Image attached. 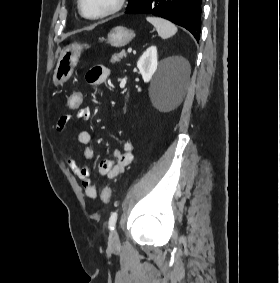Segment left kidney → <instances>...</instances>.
Here are the masks:
<instances>
[{
    "mask_svg": "<svg viewBox=\"0 0 280 283\" xmlns=\"http://www.w3.org/2000/svg\"><path fill=\"white\" fill-rule=\"evenodd\" d=\"M173 60L180 65L186 64V61L183 58H174ZM157 65V48L153 45L146 49L137 62V67L145 83L151 80L157 69Z\"/></svg>",
    "mask_w": 280,
    "mask_h": 283,
    "instance_id": "5707ae66",
    "label": "left kidney"
}]
</instances>
